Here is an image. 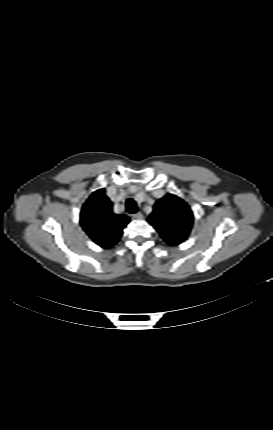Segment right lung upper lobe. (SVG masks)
<instances>
[{
  "instance_id": "1",
  "label": "right lung upper lobe",
  "mask_w": 273,
  "mask_h": 430,
  "mask_svg": "<svg viewBox=\"0 0 273 430\" xmlns=\"http://www.w3.org/2000/svg\"><path fill=\"white\" fill-rule=\"evenodd\" d=\"M104 192V189L93 192L85 202L80 224L96 244L107 249L117 243L130 219L112 212V203Z\"/></svg>"
}]
</instances>
